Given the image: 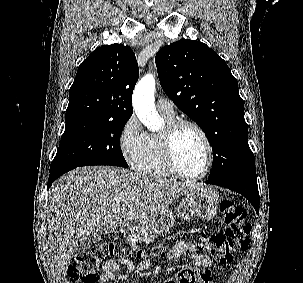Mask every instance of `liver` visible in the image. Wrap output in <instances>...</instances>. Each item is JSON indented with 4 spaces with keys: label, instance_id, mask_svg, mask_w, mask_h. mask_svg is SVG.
I'll use <instances>...</instances> for the list:
<instances>
[{
    "label": "liver",
    "instance_id": "1",
    "mask_svg": "<svg viewBox=\"0 0 303 283\" xmlns=\"http://www.w3.org/2000/svg\"><path fill=\"white\" fill-rule=\"evenodd\" d=\"M199 187L109 166L82 167L61 176L49 190L47 207L58 274H66L81 236L110 233L123 218L143 220L162 213L173 200Z\"/></svg>",
    "mask_w": 303,
    "mask_h": 283
}]
</instances>
